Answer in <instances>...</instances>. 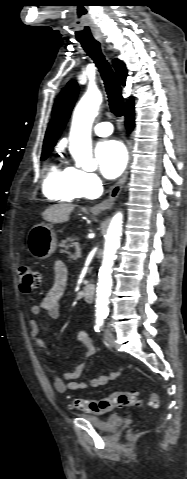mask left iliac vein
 I'll return each instance as SVG.
<instances>
[{"mask_svg": "<svg viewBox=\"0 0 187 479\" xmlns=\"http://www.w3.org/2000/svg\"><path fill=\"white\" fill-rule=\"evenodd\" d=\"M104 339H105V342L107 343V345L109 347L114 346V335L112 333L111 328L108 325H106V327H105Z\"/></svg>", "mask_w": 187, "mask_h": 479, "instance_id": "obj_1", "label": "left iliac vein"}]
</instances>
